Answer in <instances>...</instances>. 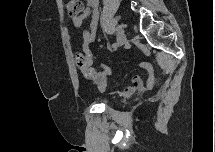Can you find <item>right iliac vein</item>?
Instances as JSON below:
<instances>
[{
    "label": "right iliac vein",
    "mask_w": 215,
    "mask_h": 152,
    "mask_svg": "<svg viewBox=\"0 0 215 152\" xmlns=\"http://www.w3.org/2000/svg\"><path fill=\"white\" fill-rule=\"evenodd\" d=\"M126 42V36L125 34L122 32V31H119L117 33V43H118V46L121 47L125 44Z\"/></svg>",
    "instance_id": "right-iliac-vein-1"
}]
</instances>
